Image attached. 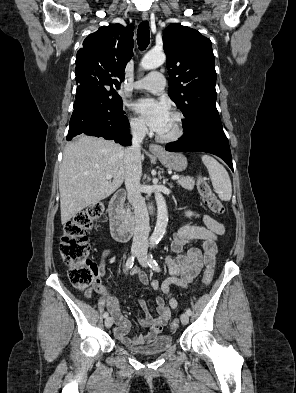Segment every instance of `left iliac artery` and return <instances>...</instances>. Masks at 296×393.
<instances>
[{
	"instance_id": "left-iliac-artery-1",
	"label": "left iliac artery",
	"mask_w": 296,
	"mask_h": 393,
	"mask_svg": "<svg viewBox=\"0 0 296 393\" xmlns=\"http://www.w3.org/2000/svg\"><path fill=\"white\" fill-rule=\"evenodd\" d=\"M155 247V245L154 244H152L151 245V249H153ZM149 266H150V268H152L153 270H155V271H160V267H159V265H158V263L156 262V260L153 258V255H152V253L150 252L149 253ZM186 313L190 316V315H192V311H191V309H187V311H186Z\"/></svg>"
}]
</instances>
